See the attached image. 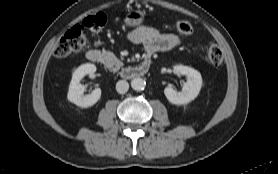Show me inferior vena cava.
Instances as JSON below:
<instances>
[{"instance_id": "1", "label": "inferior vena cava", "mask_w": 278, "mask_h": 174, "mask_svg": "<svg viewBox=\"0 0 278 174\" xmlns=\"http://www.w3.org/2000/svg\"><path fill=\"white\" fill-rule=\"evenodd\" d=\"M129 84L125 80H120L116 83V90L120 94H124L128 91Z\"/></svg>"}]
</instances>
